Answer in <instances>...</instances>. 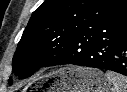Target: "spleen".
Returning <instances> with one entry per match:
<instances>
[{"mask_svg":"<svg viewBox=\"0 0 127 92\" xmlns=\"http://www.w3.org/2000/svg\"><path fill=\"white\" fill-rule=\"evenodd\" d=\"M105 76L112 84L110 92H127V77L109 71Z\"/></svg>","mask_w":127,"mask_h":92,"instance_id":"3e777b00","label":"spleen"}]
</instances>
